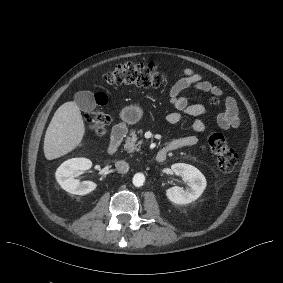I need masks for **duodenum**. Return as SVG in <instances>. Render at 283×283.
<instances>
[{"label": "duodenum", "mask_w": 283, "mask_h": 283, "mask_svg": "<svg viewBox=\"0 0 283 283\" xmlns=\"http://www.w3.org/2000/svg\"><path fill=\"white\" fill-rule=\"evenodd\" d=\"M127 132V128L124 124H117L111 133V138H110V144H109V148H108V153L110 155H113L116 153V151L118 150V148L120 147L125 135ZM169 151L168 147L162 148L160 149L156 155H155V159L157 162H164L166 160L167 157V153Z\"/></svg>", "instance_id": "1"}]
</instances>
